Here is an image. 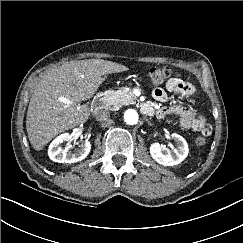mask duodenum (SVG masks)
Listing matches in <instances>:
<instances>
[{"label": "duodenum", "instance_id": "duodenum-1", "mask_svg": "<svg viewBox=\"0 0 243 243\" xmlns=\"http://www.w3.org/2000/svg\"><path fill=\"white\" fill-rule=\"evenodd\" d=\"M107 104V98H106V95L104 93H99L95 96L93 102H92V111L93 112H99L100 110L104 109L105 106ZM142 111L145 113V114H150L151 113V108L149 105L147 104H144L142 106Z\"/></svg>", "mask_w": 243, "mask_h": 243}]
</instances>
